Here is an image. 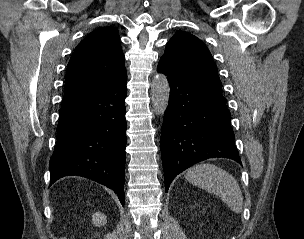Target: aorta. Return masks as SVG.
I'll list each match as a JSON object with an SVG mask.
<instances>
[{"mask_svg": "<svg viewBox=\"0 0 304 239\" xmlns=\"http://www.w3.org/2000/svg\"><path fill=\"white\" fill-rule=\"evenodd\" d=\"M170 97V85L167 76L156 74L151 83V100L154 112L163 115L167 109Z\"/></svg>", "mask_w": 304, "mask_h": 239, "instance_id": "1", "label": "aorta"}]
</instances>
